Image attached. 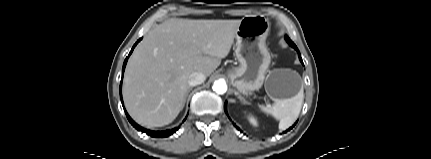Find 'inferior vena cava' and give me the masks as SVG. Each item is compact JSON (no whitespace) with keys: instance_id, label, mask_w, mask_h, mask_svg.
<instances>
[{"instance_id":"obj_1","label":"inferior vena cava","mask_w":431,"mask_h":159,"mask_svg":"<svg viewBox=\"0 0 431 159\" xmlns=\"http://www.w3.org/2000/svg\"><path fill=\"white\" fill-rule=\"evenodd\" d=\"M206 77L201 72H193L189 76L188 84L189 86H196L202 84L205 81Z\"/></svg>"}]
</instances>
